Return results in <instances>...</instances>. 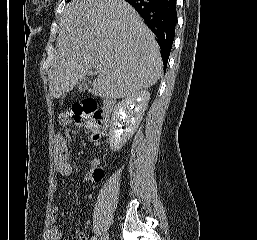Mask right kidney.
I'll list each match as a JSON object with an SVG mask.
<instances>
[{"label": "right kidney", "instance_id": "right-kidney-1", "mask_svg": "<svg viewBox=\"0 0 257 240\" xmlns=\"http://www.w3.org/2000/svg\"><path fill=\"white\" fill-rule=\"evenodd\" d=\"M149 99L150 93L146 90H141L127 96L116 106L112 114L108 135L112 150H120L136 132ZM122 121L125 126L124 130L120 129Z\"/></svg>", "mask_w": 257, "mask_h": 240}]
</instances>
